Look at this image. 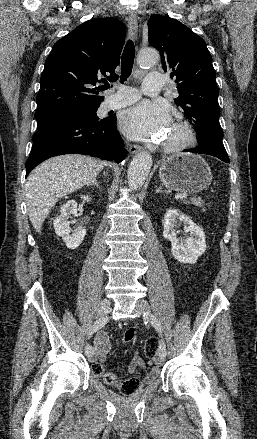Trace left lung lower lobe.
I'll return each instance as SVG.
<instances>
[{
	"mask_svg": "<svg viewBox=\"0 0 257 439\" xmlns=\"http://www.w3.org/2000/svg\"><path fill=\"white\" fill-rule=\"evenodd\" d=\"M186 152L198 153V154H207L214 157L219 158L220 160L229 163V157L226 151H217L211 148H196L192 150H185Z\"/></svg>",
	"mask_w": 257,
	"mask_h": 439,
	"instance_id": "obj_1",
	"label": "left lung lower lobe"
}]
</instances>
